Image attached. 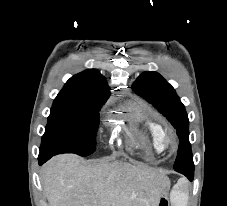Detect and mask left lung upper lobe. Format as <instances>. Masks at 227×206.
<instances>
[{"mask_svg":"<svg viewBox=\"0 0 227 206\" xmlns=\"http://www.w3.org/2000/svg\"><path fill=\"white\" fill-rule=\"evenodd\" d=\"M132 89L161 112L176 129L180 142L174 169H194L188 116L173 87L159 73L144 72Z\"/></svg>","mask_w":227,"mask_h":206,"instance_id":"5c2ea615","label":"left lung upper lobe"}]
</instances>
